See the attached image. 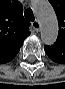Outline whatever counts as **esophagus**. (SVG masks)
Returning <instances> with one entry per match:
<instances>
[{
    "mask_svg": "<svg viewBox=\"0 0 65 89\" xmlns=\"http://www.w3.org/2000/svg\"><path fill=\"white\" fill-rule=\"evenodd\" d=\"M32 27L36 32H38L40 30V23L36 20L32 22Z\"/></svg>",
    "mask_w": 65,
    "mask_h": 89,
    "instance_id": "34e87169",
    "label": "esophagus"
}]
</instances>
